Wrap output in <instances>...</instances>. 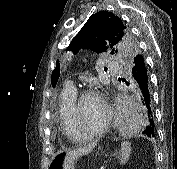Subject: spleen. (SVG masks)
Returning <instances> with one entry per match:
<instances>
[{
	"mask_svg": "<svg viewBox=\"0 0 177 169\" xmlns=\"http://www.w3.org/2000/svg\"><path fill=\"white\" fill-rule=\"evenodd\" d=\"M130 153H131V143L128 141H123L121 143V150H120L121 164H124L129 160Z\"/></svg>",
	"mask_w": 177,
	"mask_h": 169,
	"instance_id": "1",
	"label": "spleen"
}]
</instances>
